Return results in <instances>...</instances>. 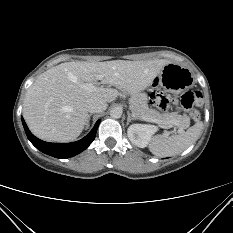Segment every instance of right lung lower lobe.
<instances>
[{"instance_id": "obj_1", "label": "right lung lower lobe", "mask_w": 233, "mask_h": 233, "mask_svg": "<svg viewBox=\"0 0 233 233\" xmlns=\"http://www.w3.org/2000/svg\"><path fill=\"white\" fill-rule=\"evenodd\" d=\"M21 119H22V123L25 129L26 135L28 139L30 140V142L41 152L48 154L50 156L56 157V158L73 157L81 153L83 150H85L94 140L98 125L100 123V120H98L95 126L93 127V129L90 131V133L87 134L84 138H82L79 141H76L73 143H48V142H45V141H42L36 138L29 131L24 119L23 118Z\"/></svg>"}]
</instances>
